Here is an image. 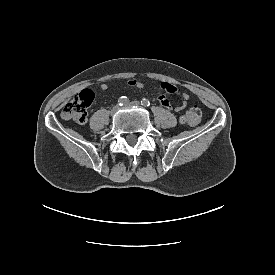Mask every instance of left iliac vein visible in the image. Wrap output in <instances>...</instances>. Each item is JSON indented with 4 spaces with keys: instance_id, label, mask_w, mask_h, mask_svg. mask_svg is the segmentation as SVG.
<instances>
[{
    "instance_id": "obj_1",
    "label": "left iliac vein",
    "mask_w": 275,
    "mask_h": 275,
    "mask_svg": "<svg viewBox=\"0 0 275 275\" xmlns=\"http://www.w3.org/2000/svg\"><path fill=\"white\" fill-rule=\"evenodd\" d=\"M126 106H139V102L138 101H133V102H129L127 104H125Z\"/></svg>"
}]
</instances>
